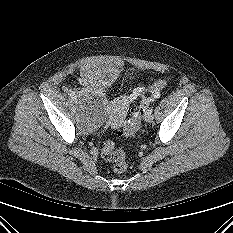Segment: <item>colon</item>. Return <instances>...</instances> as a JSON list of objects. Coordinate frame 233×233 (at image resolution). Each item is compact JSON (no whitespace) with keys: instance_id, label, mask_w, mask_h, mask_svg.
<instances>
[{"instance_id":"1","label":"colon","mask_w":233,"mask_h":233,"mask_svg":"<svg viewBox=\"0 0 233 233\" xmlns=\"http://www.w3.org/2000/svg\"><path fill=\"white\" fill-rule=\"evenodd\" d=\"M165 80L157 81L148 91V97L145 99L148 102L151 97H154L159 90L166 86ZM140 122V109L134 107L131 110L130 118L127 120L124 130L121 133L125 137H131L134 135L138 124ZM102 156L105 160L114 162L113 172L116 174H122L127 170V162L124 152L116 150L113 143L106 141L103 145Z\"/></svg>"}]
</instances>
